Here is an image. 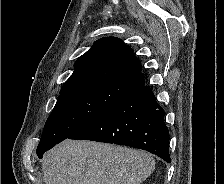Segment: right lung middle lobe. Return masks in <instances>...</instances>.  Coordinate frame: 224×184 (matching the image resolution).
Returning a JSON list of instances; mask_svg holds the SVG:
<instances>
[{"label":"right lung middle lobe","mask_w":224,"mask_h":184,"mask_svg":"<svg viewBox=\"0 0 224 184\" xmlns=\"http://www.w3.org/2000/svg\"><path fill=\"white\" fill-rule=\"evenodd\" d=\"M130 90L126 85L94 81L60 92L45 123L37 155L86 127Z\"/></svg>","instance_id":"1"}]
</instances>
